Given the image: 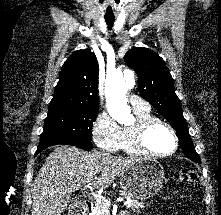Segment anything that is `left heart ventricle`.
I'll return each instance as SVG.
<instances>
[{"instance_id": "1", "label": "left heart ventricle", "mask_w": 221, "mask_h": 215, "mask_svg": "<svg viewBox=\"0 0 221 215\" xmlns=\"http://www.w3.org/2000/svg\"><path fill=\"white\" fill-rule=\"evenodd\" d=\"M146 144L154 152L165 153L173 149L174 140L166 127L156 125L148 132Z\"/></svg>"}]
</instances>
